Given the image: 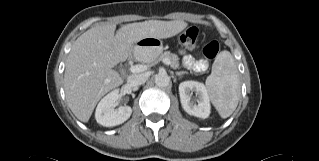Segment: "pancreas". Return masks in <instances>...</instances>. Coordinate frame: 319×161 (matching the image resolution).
Returning <instances> with one entry per match:
<instances>
[{
	"label": "pancreas",
	"mask_w": 319,
	"mask_h": 161,
	"mask_svg": "<svg viewBox=\"0 0 319 161\" xmlns=\"http://www.w3.org/2000/svg\"><path fill=\"white\" fill-rule=\"evenodd\" d=\"M164 59L170 60V66L173 69H177L180 67L179 57L176 54L171 53L170 51H166L164 53H161L157 58H155L150 63L154 64L158 61H163Z\"/></svg>",
	"instance_id": "cf45deb5"
}]
</instances>
